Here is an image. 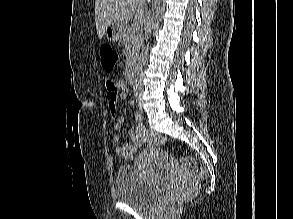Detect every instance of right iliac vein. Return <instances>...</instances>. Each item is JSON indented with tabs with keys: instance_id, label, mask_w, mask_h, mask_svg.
Wrapping results in <instances>:
<instances>
[{
	"instance_id": "obj_1",
	"label": "right iliac vein",
	"mask_w": 293,
	"mask_h": 219,
	"mask_svg": "<svg viewBox=\"0 0 293 219\" xmlns=\"http://www.w3.org/2000/svg\"><path fill=\"white\" fill-rule=\"evenodd\" d=\"M138 106H139L140 108H142V104H141V102L138 103Z\"/></svg>"
}]
</instances>
